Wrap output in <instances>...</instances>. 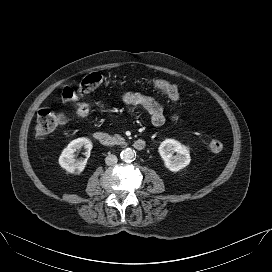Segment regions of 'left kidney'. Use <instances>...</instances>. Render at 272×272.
I'll return each instance as SVG.
<instances>
[{
	"mask_svg": "<svg viewBox=\"0 0 272 272\" xmlns=\"http://www.w3.org/2000/svg\"><path fill=\"white\" fill-rule=\"evenodd\" d=\"M158 152L165 167L172 172L180 171L191 161L189 149L174 139L164 140L160 144ZM173 153H176V155H173Z\"/></svg>",
	"mask_w": 272,
	"mask_h": 272,
	"instance_id": "1",
	"label": "left kidney"
}]
</instances>
